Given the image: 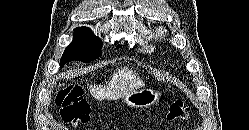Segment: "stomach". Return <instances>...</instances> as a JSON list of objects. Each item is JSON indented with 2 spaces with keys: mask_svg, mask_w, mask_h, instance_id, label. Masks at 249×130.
Instances as JSON below:
<instances>
[{
  "mask_svg": "<svg viewBox=\"0 0 249 130\" xmlns=\"http://www.w3.org/2000/svg\"><path fill=\"white\" fill-rule=\"evenodd\" d=\"M162 93L153 89L143 88L123 96V101L134 108H148L159 101Z\"/></svg>",
  "mask_w": 249,
  "mask_h": 130,
  "instance_id": "stomach-1",
  "label": "stomach"
}]
</instances>
